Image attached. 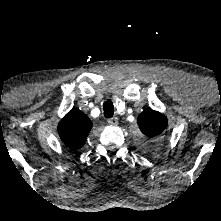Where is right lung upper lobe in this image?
Listing matches in <instances>:
<instances>
[{"instance_id":"obj_1","label":"right lung upper lobe","mask_w":221,"mask_h":221,"mask_svg":"<svg viewBox=\"0 0 221 221\" xmlns=\"http://www.w3.org/2000/svg\"><path fill=\"white\" fill-rule=\"evenodd\" d=\"M91 129V120L77 108L67 113L58 125L61 140L72 149L84 146Z\"/></svg>"}]
</instances>
